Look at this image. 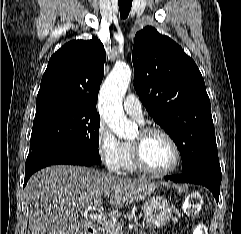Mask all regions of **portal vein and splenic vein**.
<instances>
[{
	"instance_id": "portal-vein-and-splenic-vein-1",
	"label": "portal vein and splenic vein",
	"mask_w": 241,
	"mask_h": 234,
	"mask_svg": "<svg viewBox=\"0 0 241 234\" xmlns=\"http://www.w3.org/2000/svg\"><path fill=\"white\" fill-rule=\"evenodd\" d=\"M102 205V201H98L94 206L89 207L87 210L84 211V214H89V211L91 210H97ZM89 218L92 219V221L97 222V224L101 225L104 228H110L119 231L121 229L120 225H117L115 222L111 221L110 219H107L102 214L97 213H90Z\"/></svg>"
}]
</instances>
